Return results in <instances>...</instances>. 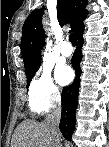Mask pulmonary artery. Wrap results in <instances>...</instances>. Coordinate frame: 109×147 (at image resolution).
Returning <instances> with one entry per match:
<instances>
[{"label": "pulmonary artery", "mask_w": 109, "mask_h": 147, "mask_svg": "<svg viewBox=\"0 0 109 147\" xmlns=\"http://www.w3.org/2000/svg\"><path fill=\"white\" fill-rule=\"evenodd\" d=\"M60 52L64 57H70L73 53V49L69 41H64L60 47Z\"/></svg>", "instance_id": "pulmonary-artery-1"}]
</instances>
